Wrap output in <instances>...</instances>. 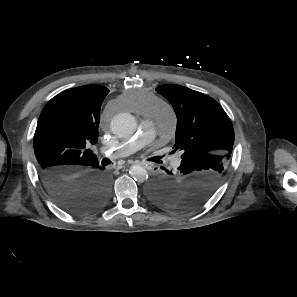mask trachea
<instances>
[{"mask_svg": "<svg viewBox=\"0 0 297 297\" xmlns=\"http://www.w3.org/2000/svg\"><path fill=\"white\" fill-rule=\"evenodd\" d=\"M102 165H108L111 163V161L107 158H103L102 161H101Z\"/></svg>", "mask_w": 297, "mask_h": 297, "instance_id": "obj_1", "label": "trachea"}]
</instances>
